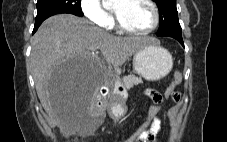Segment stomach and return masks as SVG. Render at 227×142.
<instances>
[{
  "mask_svg": "<svg viewBox=\"0 0 227 142\" xmlns=\"http://www.w3.org/2000/svg\"><path fill=\"white\" fill-rule=\"evenodd\" d=\"M173 59L170 52L159 43H148L140 48L133 56L135 73L147 81H158L171 71ZM127 111L125 100L114 104L110 112L114 118H121Z\"/></svg>",
  "mask_w": 227,
  "mask_h": 142,
  "instance_id": "stomach-1",
  "label": "stomach"
}]
</instances>
